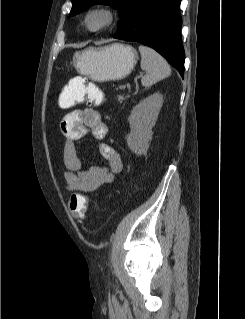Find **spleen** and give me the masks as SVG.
<instances>
[{
	"label": "spleen",
	"instance_id": "spleen-1",
	"mask_svg": "<svg viewBox=\"0 0 245 319\" xmlns=\"http://www.w3.org/2000/svg\"><path fill=\"white\" fill-rule=\"evenodd\" d=\"M141 69L146 72L141 83L145 88H149L158 81L167 78L171 74V69L167 61L150 47L140 45Z\"/></svg>",
	"mask_w": 245,
	"mask_h": 319
}]
</instances>
